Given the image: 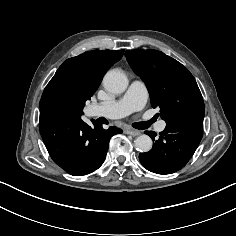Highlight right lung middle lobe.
Here are the masks:
<instances>
[{"label":"right lung middle lobe","instance_id":"obj_1","mask_svg":"<svg viewBox=\"0 0 236 236\" xmlns=\"http://www.w3.org/2000/svg\"><path fill=\"white\" fill-rule=\"evenodd\" d=\"M88 99L89 97L75 89L58 88L49 94L47 107H56L67 114L80 118Z\"/></svg>","mask_w":236,"mask_h":236}]
</instances>
